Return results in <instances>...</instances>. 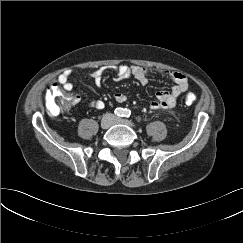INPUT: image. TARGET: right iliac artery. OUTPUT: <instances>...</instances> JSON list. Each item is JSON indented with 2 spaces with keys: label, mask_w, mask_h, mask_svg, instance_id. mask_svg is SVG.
I'll return each mask as SVG.
<instances>
[{
  "label": "right iliac artery",
  "mask_w": 243,
  "mask_h": 243,
  "mask_svg": "<svg viewBox=\"0 0 243 243\" xmlns=\"http://www.w3.org/2000/svg\"><path fill=\"white\" fill-rule=\"evenodd\" d=\"M125 109L123 108H116L115 109V115L118 117H123L124 116Z\"/></svg>",
  "instance_id": "1"
}]
</instances>
